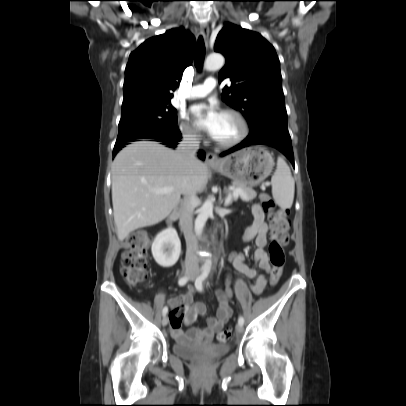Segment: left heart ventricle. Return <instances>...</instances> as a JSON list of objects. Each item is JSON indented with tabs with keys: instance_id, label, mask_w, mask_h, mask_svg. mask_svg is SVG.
I'll list each match as a JSON object with an SVG mask.
<instances>
[{
	"instance_id": "obj_1",
	"label": "left heart ventricle",
	"mask_w": 406,
	"mask_h": 406,
	"mask_svg": "<svg viewBox=\"0 0 406 406\" xmlns=\"http://www.w3.org/2000/svg\"><path fill=\"white\" fill-rule=\"evenodd\" d=\"M239 132L240 126L237 120L231 115L222 114L214 138L219 141H229L237 137Z\"/></svg>"
}]
</instances>
